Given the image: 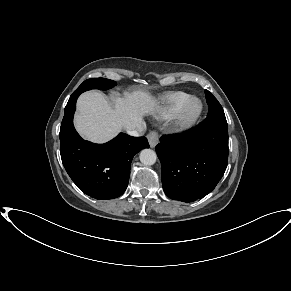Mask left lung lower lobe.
I'll return each mask as SVG.
<instances>
[{
    "mask_svg": "<svg viewBox=\"0 0 291 291\" xmlns=\"http://www.w3.org/2000/svg\"><path fill=\"white\" fill-rule=\"evenodd\" d=\"M156 152L162 165V186L174 200L193 202L218 184L228 162L225 117H207L195 128L161 137Z\"/></svg>",
    "mask_w": 291,
    "mask_h": 291,
    "instance_id": "left-lung-lower-lobe-1",
    "label": "left lung lower lobe"
}]
</instances>
